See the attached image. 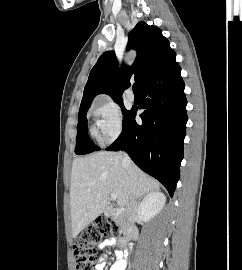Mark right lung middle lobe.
<instances>
[{"mask_svg":"<svg viewBox=\"0 0 242 270\" xmlns=\"http://www.w3.org/2000/svg\"><path fill=\"white\" fill-rule=\"evenodd\" d=\"M117 103L120 104L121 110L123 113V123L129 116L131 111H127L123 104L122 100H117ZM88 108L79 110L78 114V125H77V137H76V149L75 153L78 155L81 154H88L95 150H98L99 148L94 146L92 141L88 138L87 135V119H86V112Z\"/></svg>","mask_w":242,"mask_h":270,"instance_id":"1","label":"right lung middle lobe"}]
</instances>
